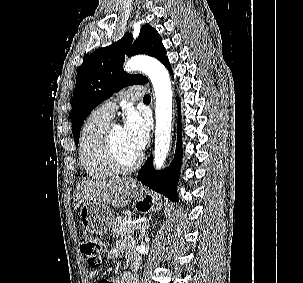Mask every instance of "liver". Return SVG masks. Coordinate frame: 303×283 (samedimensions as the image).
<instances>
[{"label":"liver","mask_w":303,"mask_h":283,"mask_svg":"<svg viewBox=\"0 0 303 283\" xmlns=\"http://www.w3.org/2000/svg\"><path fill=\"white\" fill-rule=\"evenodd\" d=\"M136 180L121 178L112 180H82L76 187L74 207L81 203H97L107 207L123 208L135 188Z\"/></svg>","instance_id":"obj_1"}]
</instances>
